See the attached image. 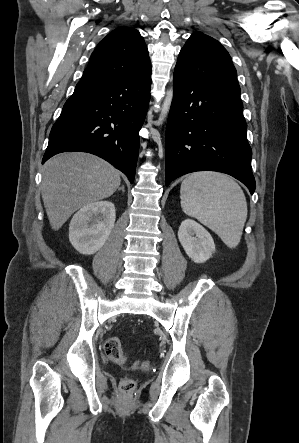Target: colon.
<instances>
[{"mask_svg":"<svg viewBox=\"0 0 299 443\" xmlns=\"http://www.w3.org/2000/svg\"><path fill=\"white\" fill-rule=\"evenodd\" d=\"M103 350L105 355L112 361L121 365H127L128 359L124 354L120 340L117 337H108L103 343ZM147 363L136 362L132 365L133 368H145ZM136 383L132 378H123L119 384L120 392L125 396H130L135 390Z\"/></svg>","mask_w":299,"mask_h":443,"instance_id":"5ec220e1","label":"colon"}]
</instances>
